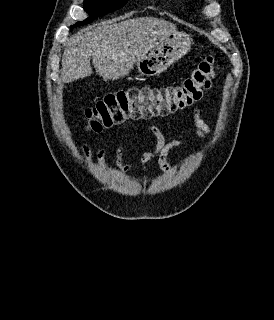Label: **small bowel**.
<instances>
[{"label":"small bowel","mask_w":274,"mask_h":320,"mask_svg":"<svg viewBox=\"0 0 274 320\" xmlns=\"http://www.w3.org/2000/svg\"><path fill=\"white\" fill-rule=\"evenodd\" d=\"M193 123L195 126V133L201 137L206 138L210 134V128L203 120L201 115V109L199 107H195L192 114ZM146 129L154 136L155 145L153 149L143 153L140 157V164L145 167L151 162L153 159H156L159 167L167 174L173 173V167L168 161V156L170 152L177 147H180L183 142L180 140H171L167 141L161 129L153 124H149L146 126ZM84 156L88 163L92 162V154L91 149L88 144L83 146ZM124 148L122 143L117 145L115 151V165L116 167L123 171L129 172L134 169V167L130 164H127L123 160ZM95 158L99 165V167L106 171L111 172V168L106 160V150L104 147L100 146L95 151Z\"/></svg>","instance_id":"1"}]
</instances>
